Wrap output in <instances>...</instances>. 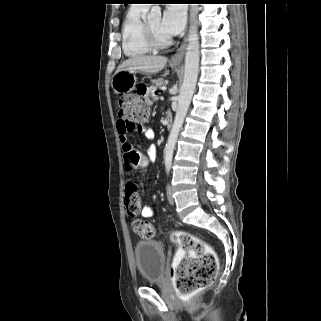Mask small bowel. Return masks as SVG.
Returning a JSON list of instances; mask_svg holds the SVG:
<instances>
[{"label": "small bowel", "instance_id": "1", "mask_svg": "<svg viewBox=\"0 0 321 321\" xmlns=\"http://www.w3.org/2000/svg\"><path fill=\"white\" fill-rule=\"evenodd\" d=\"M135 94L138 95V97H145L146 99L144 100L145 104H148L150 101V97H149V90L147 89V85L146 83H137L135 89H134ZM117 131H118V136H119V140L121 143V147H122V151H123V155H124V160L126 161L127 157L137 151L139 152L135 147H133L129 141H128V135L131 132V130H129L126 125L119 120L117 122ZM144 136L147 140H152L155 137V132L152 128L149 127H144L142 129ZM156 156V150L155 148H150L148 153L146 155H144V157L147 159H151L154 158ZM141 215L145 218H150L154 215V211L151 207L149 206H144L141 209Z\"/></svg>", "mask_w": 321, "mask_h": 321}]
</instances>
